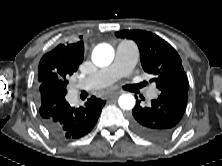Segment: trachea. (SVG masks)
I'll list each match as a JSON object with an SVG mask.
<instances>
[{"mask_svg": "<svg viewBox=\"0 0 222 166\" xmlns=\"http://www.w3.org/2000/svg\"><path fill=\"white\" fill-rule=\"evenodd\" d=\"M146 84H147L146 82H143V83H142V86H145Z\"/></svg>", "mask_w": 222, "mask_h": 166, "instance_id": "3493384b", "label": "trachea"}]
</instances>
